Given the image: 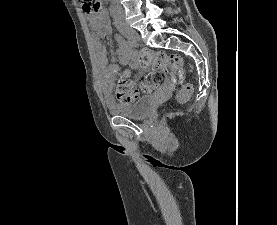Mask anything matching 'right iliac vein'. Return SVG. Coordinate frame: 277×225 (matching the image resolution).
<instances>
[{"mask_svg": "<svg viewBox=\"0 0 277 225\" xmlns=\"http://www.w3.org/2000/svg\"><path fill=\"white\" fill-rule=\"evenodd\" d=\"M120 32L123 36H125L126 38L132 40L133 42H137L140 40V37L138 35V33L131 29V28H121Z\"/></svg>", "mask_w": 277, "mask_h": 225, "instance_id": "right-iliac-vein-1", "label": "right iliac vein"}]
</instances>
